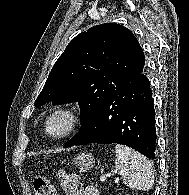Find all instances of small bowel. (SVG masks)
Segmentation results:
<instances>
[{
	"instance_id": "c3829d8e",
	"label": "small bowel",
	"mask_w": 189,
	"mask_h": 195,
	"mask_svg": "<svg viewBox=\"0 0 189 195\" xmlns=\"http://www.w3.org/2000/svg\"><path fill=\"white\" fill-rule=\"evenodd\" d=\"M85 195H99V191L94 186H89L85 190Z\"/></svg>"
}]
</instances>
